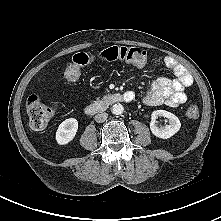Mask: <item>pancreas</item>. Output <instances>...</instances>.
<instances>
[{
    "mask_svg": "<svg viewBox=\"0 0 221 221\" xmlns=\"http://www.w3.org/2000/svg\"><path fill=\"white\" fill-rule=\"evenodd\" d=\"M109 97H111V95H105L104 97H103V99H108Z\"/></svg>",
    "mask_w": 221,
    "mask_h": 221,
    "instance_id": "1",
    "label": "pancreas"
}]
</instances>
